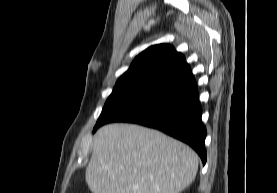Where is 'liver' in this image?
<instances>
[{
	"mask_svg": "<svg viewBox=\"0 0 277 193\" xmlns=\"http://www.w3.org/2000/svg\"><path fill=\"white\" fill-rule=\"evenodd\" d=\"M198 163L189 146L162 132L116 123L96 132L85 179L92 193H179Z\"/></svg>",
	"mask_w": 277,
	"mask_h": 193,
	"instance_id": "obj_1",
	"label": "liver"
}]
</instances>
